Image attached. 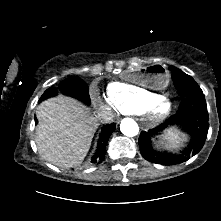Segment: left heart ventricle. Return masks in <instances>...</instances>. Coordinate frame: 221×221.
Masks as SVG:
<instances>
[{
	"instance_id": "b2bd125f",
	"label": "left heart ventricle",
	"mask_w": 221,
	"mask_h": 221,
	"mask_svg": "<svg viewBox=\"0 0 221 221\" xmlns=\"http://www.w3.org/2000/svg\"><path fill=\"white\" fill-rule=\"evenodd\" d=\"M168 108H169V104L165 101V102H162V103L159 105L158 111H159V112H165Z\"/></svg>"
}]
</instances>
